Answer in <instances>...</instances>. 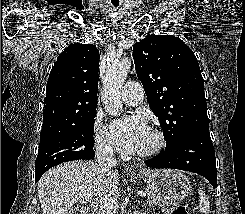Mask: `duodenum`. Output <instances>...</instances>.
I'll use <instances>...</instances> for the list:
<instances>
[{"label": "duodenum", "instance_id": "1", "mask_svg": "<svg viewBox=\"0 0 245 214\" xmlns=\"http://www.w3.org/2000/svg\"><path fill=\"white\" fill-rule=\"evenodd\" d=\"M96 208L93 206L85 207L82 209L81 214H95Z\"/></svg>", "mask_w": 245, "mask_h": 214}]
</instances>
